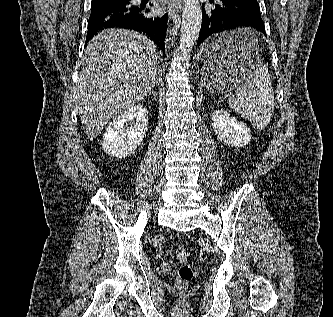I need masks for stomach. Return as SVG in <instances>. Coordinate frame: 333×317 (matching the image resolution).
I'll return each instance as SVG.
<instances>
[{
	"label": "stomach",
	"instance_id": "1",
	"mask_svg": "<svg viewBox=\"0 0 333 317\" xmlns=\"http://www.w3.org/2000/svg\"><path fill=\"white\" fill-rule=\"evenodd\" d=\"M207 40L200 49V62L204 66L200 88L215 94H223L248 81V74H260L263 69L258 60L257 33L254 29H219V33H207Z\"/></svg>",
	"mask_w": 333,
	"mask_h": 317
}]
</instances>
